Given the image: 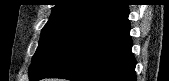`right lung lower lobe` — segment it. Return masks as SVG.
Masks as SVG:
<instances>
[{
    "instance_id": "1",
    "label": "right lung lower lobe",
    "mask_w": 169,
    "mask_h": 81,
    "mask_svg": "<svg viewBox=\"0 0 169 81\" xmlns=\"http://www.w3.org/2000/svg\"><path fill=\"white\" fill-rule=\"evenodd\" d=\"M128 15L123 5L84 23L29 80L136 81Z\"/></svg>"
}]
</instances>
